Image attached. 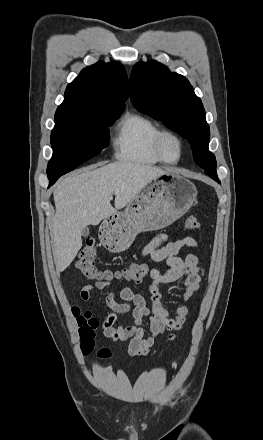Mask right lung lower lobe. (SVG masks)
<instances>
[{
  "mask_svg": "<svg viewBox=\"0 0 263 440\" xmlns=\"http://www.w3.org/2000/svg\"><path fill=\"white\" fill-rule=\"evenodd\" d=\"M56 181H57V180H52V181H50L49 187H50L51 185H53Z\"/></svg>",
  "mask_w": 263,
  "mask_h": 440,
  "instance_id": "obj_1",
  "label": "right lung lower lobe"
}]
</instances>
